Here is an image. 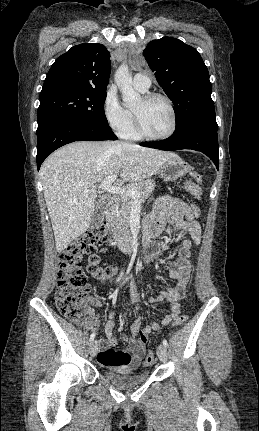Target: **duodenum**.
I'll return each instance as SVG.
<instances>
[{
  "label": "duodenum",
  "mask_w": 259,
  "mask_h": 431,
  "mask_svg": "<svg viewBox=\"0 0 259 431\" xmlns=\"http://www.w3.org/2000/svg\"><path fill=\"white\" fill-rule=\"evenodd\" d=\"M114 207H115V200L114 199L109 200L105 207L106 218L108 222L111 221ZM112 243L117 244L122 251L127 253H130L135 249L134 239L127 232H114L112 234Z\"/></svg>",
  "instance_id": "obj_1"
}]
</instances>
